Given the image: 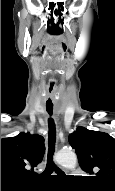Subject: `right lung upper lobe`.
I'll return each mask as SVG.
<instances>
[{"label":"right lung upper lobe","mask_w":115,"mask_h":191,"mask_svg":"<svg viewBox=\"0 0 115 191\" xmlns=\"http://www.w3.org/2000/svg\"><path fill=\"white\" fill-rule=\"evenodd\" d=\"M44 138L20 133L1 139V187L16 189L31 175L28 167L37 166L44 156Z\"/></svg>","instance_id":"right-lung-upper-lobe-1"}]
</instances>
